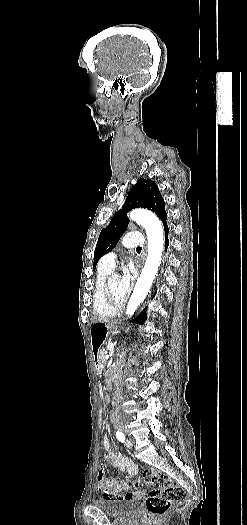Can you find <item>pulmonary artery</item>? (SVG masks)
I'll return each instance as SVG.
<instances>
[{
  "label": "pulmonary artery",
  "mask_w": 247,
  "mask_h": 525,
  "mask_svg": "<svg viewBox=\"0 0 247 525\" xmlns=\"http://www.w3.org/2000/svg\"><path fill=\"white\" fill-rule=\"evenodd\" d=\"M145 239L143 236H130V232H127L121 237V244L123 247L129 249V248H136L138 246H141L144 244ZM115 253L113 251L108 252L106 255V265H109L115 260Z\"/></svg>",
  "instance_id": "pulmonary-artery-1"
}]
</instances>
